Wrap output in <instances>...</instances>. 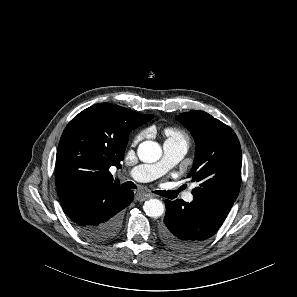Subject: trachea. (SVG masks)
Instances as JSON below:
<instances>
[{
	"label": "trachea",
	"mask_w": 297,
	"mask_h": 297,
	"mask_svg": "<svg viewBox=\"0 0 297 297\" xmlns=\"http://www.w3.org/2000/svg\"><path fill=\"white\" fill-rule=\"evenodd\" d=\"M123 187H126V188H131V189H135L136 188V185L131 182V181H128V182H125L122 184ZM184 188H180L179 190L177 191H160V194L163 195V196H166L168 198H175L178 193L183 190Z\"/></svg>",
	"instance_id": "1"
}]
</instances>
